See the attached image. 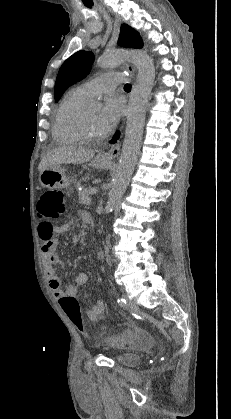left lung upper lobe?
<instances>
[{"label": "left lung upper lobe", "instance_id": "left-lung-upper-lobe-1", "mask_svg": "<svg viewBox=\"0 0 231 419\" xmlns=\"http://www.w3.org/2000/svg\"><path fill=\"white\" fill-rule=\"evenodd\" d=\"M118 44L130 48L143 47L138 32L126 24L121 26ZM93 60V53L81 50L74 53L63 63L55 83L54 97L56 102L70 85L82 80L90 72Z\"/></svg>", "mask_w": 231, "mask_h": 419}]
</instances>
